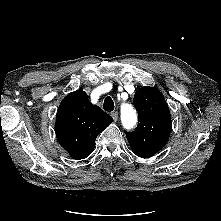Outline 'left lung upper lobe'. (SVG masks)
<instances>
[{
	"label": "left lung upper lobe",
	"instance_id": "obj_1",
	"mask_svg": "<svg viewBox=\"0 0 221 221\" xmlns=\"http://www.w3.org/2000/svg\"><path fill=\"white\" fill-rule=\"evenodd\" d=\"M139 115L135 131L126 132L132 151L141 158H149L167 143L172 121L168 105L162 94L153 87H143L134 95Z\"/></svg>",
	"mask_w": 221,
	"mask_h": 221
}]
</instances>
